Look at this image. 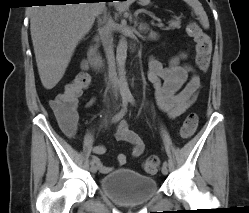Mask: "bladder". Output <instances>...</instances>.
Instances as JSON below:
<instances>
[{
  "mask_svg": "<svg viewBox=\"0 0 249 213\" xmlns=\"http://www.w3.org/2000/svg\"><path fill=\"white\" fill-rule=\"evenodd\" d=\"M100 190L124 206L140 205L158 191L157 182L133 169L123 168L101 177Z\"/></svg>",
  "mask_w": 249,
  "mask_h": 213,
  "instance_id": "bladder-1",
  "label": "bladder"
}]
</instances>
